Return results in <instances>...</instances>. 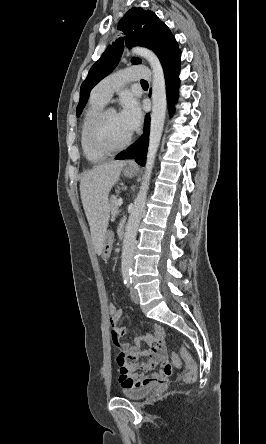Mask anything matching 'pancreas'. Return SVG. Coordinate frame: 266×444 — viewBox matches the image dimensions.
I'll list each match as a JSON object with an SVG mask.
<instances>
[{"label":"pancreas","instance_id":"pancreas-1","mask_svg":"<svg viewBox=\"0 0 266 444\" xmlns=\"http://www.w3.org/2000/svg\"><path fill=\"white\" fill-rule=\"evenodd\" d=\"M118 199L116 196H112L110 199V211H111V216L114 218L118 215L119 210H118Z\"/></svg>","mask_w":266,"mask_h":444}]
</instances>
